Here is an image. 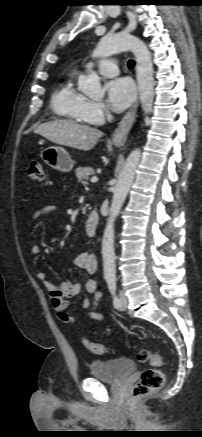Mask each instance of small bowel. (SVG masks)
<instances>
[{
	"label": "small bowel",
	"mask_w": 202,
	"mask_h": 437,
	"mask_svg": "<svg viewBox=\"0 0 202 437\" xmlns=\"http://www.w3.org/2000/svg\"><path fill=\"white\" fill-rule=\"evenodd\" d=\"M57 209L58 205L56 203L47 204L35 211L31 220L37 221L40 218L57 211ZM31 252L34 255H38L40 253V247L38 245H33L31 247ZM73 265L76 268L85 271L88 275V278L83 283L72 282L65 279L54 284L46 279V274L42 271H36L34 276L48 291L52 307L61 322L66 324L72 323L73 320L70 315L69 299L78 296L82 291H85L87 295L82 301V308L89 310V316L93 322L100 323L104 319L103 314L98 311V307L103 298V293L97 290V281L94 278L98 269L97 258L92 252H82L75 257ZM88 295H93V298L90 299Z\"/></svg>",
	"instance_id": "obj_1"
}]
</instances>
